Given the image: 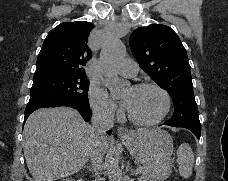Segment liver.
I'll return each instance as SVG.
<instances>
[{"mask_svg":"<svg viewBox=\"0 0 228 181\" xmlns=\"http://www.w3.org/2000/svg\"><path fill=\"white\" fill-rule=\"evenodd\" d=\"M23 151L34 181H57L78 173L98 139L75 109H38L24 125ZM108 149V137L102 139Z\"/></svg>","mask_w":228,"mask_h":181,"instance_id":"6515ba94","label":"liver"}]
</instances>
